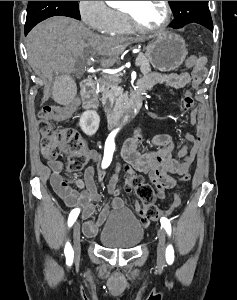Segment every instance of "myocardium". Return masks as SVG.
I'll return each mask as SVG.
<instances>
[{
	"mask_svg": "<svg viewBox=\"0 0 237 300\" xmlns=\"http://www.w3.org/2000/svg\"><path fill=\"white\" fill-rule=\"evenodd\" d=\"M163 2H164V6H165V18H164V21L162 22V24L157 27H147V26L140 24L136 20L133 12L127 8L123 7L122 13L124 14L129 25L136 31L152 32V33L162 32L169 26V24L171 22V16H172V9H171V5H170V1H163Z\"/></svg>",
	"mask_w": 237,
	"mask_h": 300,
	"instance_id": "1",
	"label": "myocardium"
}]
</instances>
